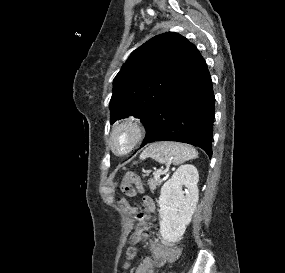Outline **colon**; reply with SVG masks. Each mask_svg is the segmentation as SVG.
<instances>
[{
    "instance_id": "1",
    "label": "colon",
    "mask_w": 285,
    "mask_h": 273,
    "mask_svg": "<svg viewBox=\"0 0 285 273\" xmlns=\"http://www.w3.org/2000/svg\"><path fill=\"white\" fill-rule=\"evenodd\" d=\"M119 189L126 196L133 197L138 192H141V181L137 175L128 173L124 176L122 182L120 183ZM137 219L140 223H138L137 229L130 239V246L126 250L125 266H128L129 263L136 257V246L141 242L145 233L148 232L149 223H145L148 219V211L146 210L145 205H142L141 208H139Z\"/></svg>"
}]
</instances>
